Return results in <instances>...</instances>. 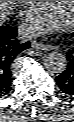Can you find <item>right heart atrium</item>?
<instances>
[{"label":"right heart atrium","mask_w":74,"mask_h":122,"mask_svg":"<svg viewBox=\"0 0 74 122\" xmlns=\"http://www.w3.org/2000/svg\"><path fill=\"white\" fill-rule=\"evenodd\" d=\"M19 2V14L27 15L38 1H18Z\"/></svg>","instance_id":"right-heart-atrium-1"}]
</instances>
